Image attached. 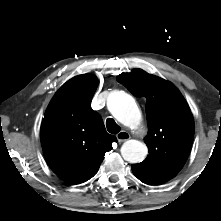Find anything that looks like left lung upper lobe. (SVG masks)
<instances>
[{
	"label": "left lung upper lobe",
	"instance_id": "1",
	"mask_svg": "<svg viewBox=\"0 0 221 221\" xmlns=\"http://www.w3.org/2000/svg\"><path fill=\"white\" fill-rule=\"evenodd\" d=\"M117 81L134 96L147 100L145 142L149 155L143 162L133 164L132 170L145 184L165 183L181 170L189 155L194 137L190 108L173 84L141 69L122 73Z\"/></svg>",
	"mask_w": 221,
	"mask_h": 221
}]
</instances>
